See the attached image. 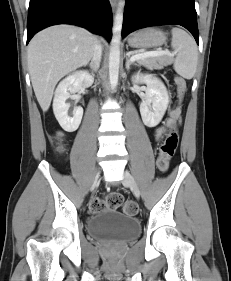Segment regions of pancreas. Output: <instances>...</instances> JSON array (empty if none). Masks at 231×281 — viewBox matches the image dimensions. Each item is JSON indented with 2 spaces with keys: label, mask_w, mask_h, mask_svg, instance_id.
Returning a JSON list of instances; mask_svg holds the SVG:
<instances>
[{
  "label": "pancreas",
  "mask_w": 231,
  "mask_h": 281,
  "mask_svg": "<svg viewBox=\"0 0 231 281\" xmlns=\"http://www.w3.org/2000/svg\"><path fill=\"white\" fill-rule=\"evenodd\" d=\"M173 62V58L169 55H160L147 57L144 59L137 60L138 65H142L148 69H163Z\"/></svg>",
  "instance_id": "cf45deb5"
}]
</instances>
